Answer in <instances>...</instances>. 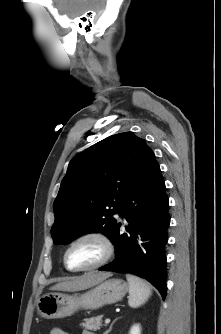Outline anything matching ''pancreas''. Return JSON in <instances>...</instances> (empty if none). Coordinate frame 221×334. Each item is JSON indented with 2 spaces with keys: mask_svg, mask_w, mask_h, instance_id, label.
<instances>
[{
  "mask_svg": "<svg viewBox=\"0 0 221 334\" xmlns=\"http://www.w3.org/2000/svg\"><path fill=\"white\" fill-rule=\"evenodd\" d=\"M81 326L86 330H99L100 327L103 326L102 315L84 319V322L81 323Z\"/></svg>",
  "mask_w": 221,
  "mask_h": 334,
  "instance_id": "cf45deb5",
  "label": "pancreas"
}]
</instances>
